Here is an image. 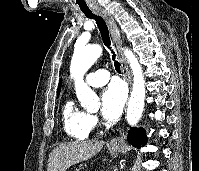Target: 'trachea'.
I'll list each match as a JSON object with an SVG mask.
<instances>
[{
	"label": "trachea",
	"mask_w": 199,
	"mask_h": 171,
	"mask_svg": "<svg viewBox=\"0 0 199 171\" xmlns=\"http://www.w3.org/2000/svg\"><path fill=\"white\" fill-rule=\"evenodd\" d=\"M83 13H84V15L87 18L95 20V22H96V24H97V26L99 28V31H100V34H101V37H102L104 45L112 53V59L114 61L115 70L118 73H121L120 63L115 59L116 55L114 54L113 50L111 49V42H110V37H109V30H108V26H107L105 20L100 15H95L92 12H83Z\"/></svg>",
	"instance_id": "obj_1"
}]
</instances>
